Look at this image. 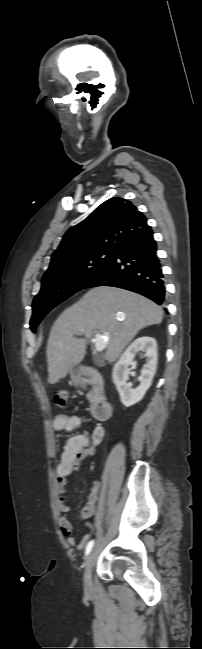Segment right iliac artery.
<instances>
[{
	"instance_id": "right-iliac-artery-1",
	"label": "right iliac artery",
	"mask_w": 202,
	"mask_h": 649,
	"mask_svg": "<svg viewBox=\"0 0 202 649\" xmlns=\"http://www.w3.org/2000/svg\"><path fill=\"white\" fill-rule=\"evenodd\" d=\"M93 545H94V541H93V540H91V541L87 544L86 549H85V554H86V555H88V554L90 553V551H91L92 548H93Z\"/></svg>"
}]
</instances>
